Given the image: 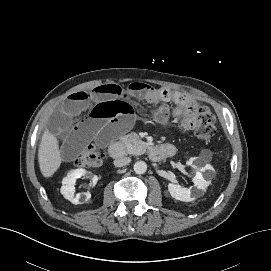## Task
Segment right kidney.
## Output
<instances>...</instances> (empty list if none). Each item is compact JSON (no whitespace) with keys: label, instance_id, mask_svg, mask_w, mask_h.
Returning <instances> with one entry per match:
<instances>
[{"label":"right kidney","instance_id":"obj_1","mask_svg":"<svg viewBox=\"0 0 271 271\" xmlns=\"http://www.w3.org/2000/svg\"><path fill=\"white\" fill-rule=\"evenodd\" d=\"M91 175L92 174L90 172L86 171L83 168L70 171L67 174V176L62 180L61 193L64 196V198L69 200L73 204L86 203L91 198L90 192L78 193L75 195L76 192L75 182L78 178L82 176L90 177ZM92 180L93 185H95L98 180L97 176H94Z\"/></svg>","mask_w":271,"mask_h":271}]
</instances>
